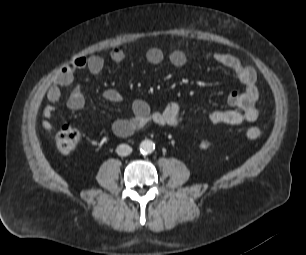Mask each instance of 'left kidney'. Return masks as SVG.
I'll return each instance as SVG.
<instances>
[{"label": "left kidney", "mask_w": 306, "mask_h": 255, "mask_svg": "<svg viewBox=\"0 0 306 255\" xmlns=\"http://www.w3.org/2000/svg\"><path fill=\"white\" fill-rule=\"evenodd\" d=\"M200 147H201L202 149H206V148H208V144H207L206 142H202V143L200 144Z\"/></svg>", "instance_id": "5707ae66"}]
</instances>
